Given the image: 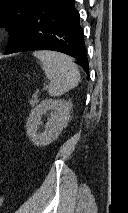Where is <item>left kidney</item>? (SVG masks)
<instances>
[{
    "label": "left kidney",
    "mask_w": 128,
    "mask_h": 213,
    "mask_svg": "<svg viewBox=\"0 0 128 213\" xmlns=\"http://www.w3.org/2000/svg\"><path fill=\"white\" fill-rule=\"evenodd\" d=\"M72 108V102L66 100L45 99L31 110L26 123L27 136L36 146H47L56 140L63 128L66 127ZM51 111V116L42 133L38 132L41 116Z\"/></svg>",
    "instance_id": "1"
}]
</instances>
